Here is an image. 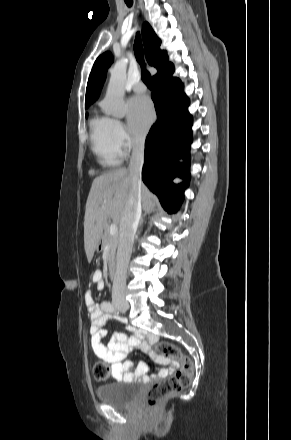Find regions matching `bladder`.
Listing matches in <instances>:
<instances>
[{"instance_id":"1","label":"bladder","mask_w":291,"mask_h":440,"mask_svg":"<svg viewBox=\"0 0 291 440\" xmlns=\"http://www.w3.org/2000/svg\"><path fill=\"white\" fill-rule=\"evenodd\" d=\"M140 393L141 389L138 382L125 379L98 387L95 391L100 401L119 408H126L132 405L138 399Z\"/></svg>"}]
</instances>
